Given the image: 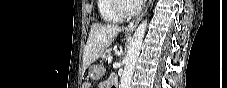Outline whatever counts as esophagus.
Instances as JSON below:
<instances>
[{"instance_id":"34e87169","label":"esophagus","mask_w":227,"mask_h":88,"mask_svg":"<svg viewBox=\"0 0 227 88\" xmlns=\"http://www.w3.org/2000/svg\"><path fill=\"white\" fill-rule=\"evenodd\" d=\"M152 0H149L148 3H147V7L146 9L140 14L139 17L135 18L134 20H132L126 27H125V30L126 31H133L136 26L138 25L139 21L142 19V17L144 16V14L146 13L147 11V8L148 6L151 4Z\"/></svg>"}]
</instances>
